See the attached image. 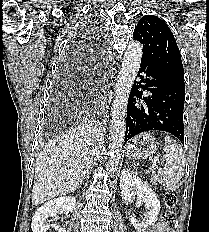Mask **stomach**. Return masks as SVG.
I'll return each mask as SVG.
<instances>
[{
    "label": "stomach",
    "instance_id": "obj_1",
    "mask_svg": "<svg viewBox=\"0 0 209 232\" xmlns=\"http://www.w3.org/2000/svg\"><path fill=\"white\" fill-rule=\"evenodd\" d=\"M157 149L156 139L148 133H142L127 143L125 153L130 158L145 159L153 155Z\"/></svg>",
    "mask_w": 209,
    "mask_h": 232
}]
</instances>
